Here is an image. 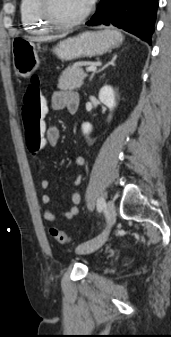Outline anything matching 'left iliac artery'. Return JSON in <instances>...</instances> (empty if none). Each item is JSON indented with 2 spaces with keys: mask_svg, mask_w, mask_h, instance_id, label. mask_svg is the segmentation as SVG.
I'll use <instances>...</instances> for the list:
<instances>
[{
  "mask_svg": "<svg viewBox=\"0 0 171 337\" xmlns=\"http://www.w3.org/2000/svg\"><path fill=\"white\" fill-rule=\"evenodd\" d=\"M104 207H105V200H104V198L98 199V202H97V209H98V211L101 212Z\"/></svg>",
  "mask_w": 171,
  "mask_h": 337,
  "instance_id": "1",
  "label": "left iliac artery"
}]
</instances>
